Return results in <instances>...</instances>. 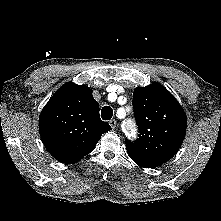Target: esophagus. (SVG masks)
Instances as JSON below:
<instances>
[{"label":"esophagus","instance_id":"1","mask_svg":"<svg viewBox=\"0 0 221 221\" xmlns=\"http://www.w3.org/2000/svg\"><path fill=\"white\" fill-rule=\"evenodd\" d=\"M109 124L112 127V129H115V127H116V120L115 119L110 120Z\"/></svg>","mask_w":221,"mask_h":221}]
</instances>
